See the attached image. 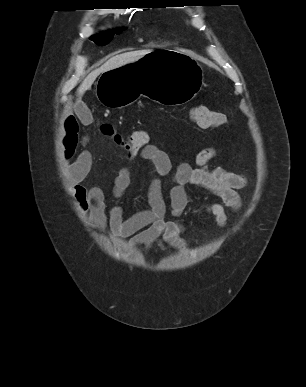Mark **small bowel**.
I'll use <instances>...</instances> for the list:
<instances>
[{
  "label": "small bowel",
  "instance_id": "1",
  "mask_svg": "<svg viewBox=\"0 0 306 387\" xmlns=\"http://www.w3.org/2000/svg\"><path fill=\"white\" fill-rule=\"evenodd\" d=\"M83 125L92 123L89 110L81 109L78 113ZM89 143L87 135L79 138V124L73 115L66 117L63 124L62 147L66 160L73 158L78 145L85 147ZM218 154L214 147L202 149L195 157L194 164L181 162L175 167L170 156L157 146L147 144L135 155L127 156L132 160L139 157L148 165L150 176L147 192L148 208L124 216L120 205L115 204L107 211L105 194L98 185L86 187L82 184L91 169V153L83 149L71 162L68 173L72 186V195L79 209L89 213L92 225L98 230L108 228L114 235L128 238L134 246L158 245L161 248L173 247L179 251L187 249L182 237L188 224L179 220L188 205L186 186L201 188L219 202L206 203L201 214L214 218L218 228L223 229L228 220L227 210L233 212L241 207L240 190L246 179L242 174L233 173L223 168H211L209 163ZM169 177L168 197L171 219H166L167 204L163 194L161 177ZM131 183V171L128 167L118 170L112 187L114 200L119 201Z\"/></svg>",
  "mask_w": 306,
  "mask_h": 387
}]
</instances>
